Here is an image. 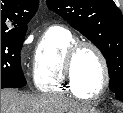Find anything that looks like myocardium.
<instances>
[{
	"instance_id": "myocardium-1",
	"label": "myocardium",
	"mask_w": 123,
	"mask_h": 113,
	"mask_svg": "<svg viewBox=\"0 0 123 113\" xmlns=\"http://www.w3.org/2000/svg\"><path fill=\"white\" fill-rule=\"evenodd\" d=\"M91 49L93 50L98 58L100 59V62L102 64L103 68V84L99 91H97L94 94H82L76 84L75 76H74V63L80 52L85 49ZM64 73L65 77L70 84L71 88L78 92L82 98L86 99H96L101 97L108 89L109 82H110V70L108 61L106 59V56L104 55L103 51L100 49L99 46H97L95 43L90 41H76L67 51V54L65 56L64 60Z\"/></svg>"
}]
</instances>
